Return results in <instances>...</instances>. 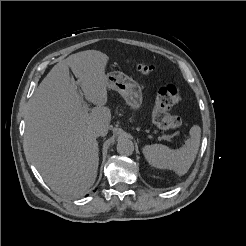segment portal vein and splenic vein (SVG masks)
<instances>
[{
  "label": "portal vein and splenic vein",
  "instance_id": "obj_1",
  "mask_svg": "<svg viewBox=\"0 0 246 246\" xmlns=\"http://www.w3.org/2000/svg\"><path fill=\"white\" fill-rule=\"evenodd\" d=\"M80 99H81V102H82V104H83V110H84L85 112H88L89 108H88L87 103L83 100L82 94H81V96H80ZM159 139L169 140L168 136H166V135H162L161 137H159Z\"/></svg>",
  "mask_w": 246,
  "mask_h": 246
}]
</instances>
